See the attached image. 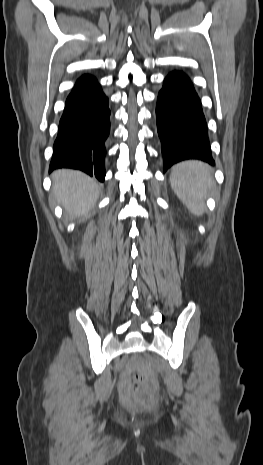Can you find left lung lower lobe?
Segmentation results:
<instances>
[{"instance_id": "left-lung-lower-lobe-1", "label": "left lung lower lobe", "mask_w": 263, "mask_h": 465, "mask_svg": "<svg viewBox=\"0 0 263 465\" xmlns=\"http://www.w3.org/2000/svg\"><path fill=\"white\" fill-rule=\"evenodd\" d=\"M164 171L185 159L214 164L201 102L190 79L172 72L164 80L156 106Z\"/></svg>"}]
</instances>
